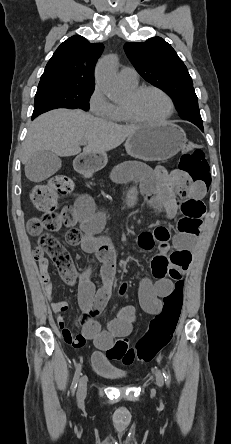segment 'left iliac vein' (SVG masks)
Listing matches in <instances>:
<instances>
[{
  "mask_svg": "<svg viewBox=\"0 0 231 444\" xmlns=\"http://www.w3.org/2000/svg\"><path fill=\"white\" fill-rule=\"evenodd\" d=\"M156 383L159 387L163 386V378L159 373H156Z\"/></svg>",
  "mask_w": 231,
  "mask_h": 444,
  "instance_id": "left-iliac-vein-1",
  "label": "left iliac vein"
}]
</instances>
